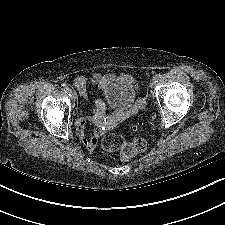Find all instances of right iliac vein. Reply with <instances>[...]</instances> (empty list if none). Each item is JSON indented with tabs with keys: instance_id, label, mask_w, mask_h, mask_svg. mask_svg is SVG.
I'll list each match as a JSON object with an SVG mask.
<instances>
[{
	"instance_id": "right-iliac-vein-1",
	"label": "right iliac vein",
	"mask_w": 225,
	"mask_h": 225,
	"mask_svg": "<svg viewBox=\"0 0 225 225\" xmlns=\"http://www.w3.org/2000/svg\"><path fill=\"white\" fill-rule=\"evenodd\" d=\"M70 97H71V99H72L73 101H76V100H77V94H76V92L71 91Z\"/></svg>"
}]
</instances>
